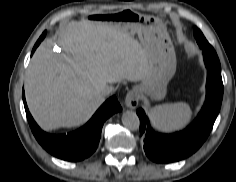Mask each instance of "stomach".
Returning a JSON list of instances; mask_svg holds the SVG:
<instances>
[{
	"mask_svg": "<svg viewBox=\"0 0 236 182\" xmlns=\"http://www.w3.org/2000/svg\"><path fill=\"white\" fill-rule=\"evenodd\" d=\"M93 23L119 26L130 35L138 34L139 39L149 48V71L134 90L140 97L162 100L166 87L176 71V54L173 43L163 22L154 16L140 14L134 10H123L116 14L93 12Z\"/></svg>",
	"mask_w": 236,
	"mask_h": 182,
	"instance_id": "stomach-1",
	"label": "stomach"
}]
</instances>
